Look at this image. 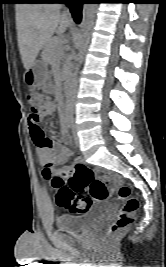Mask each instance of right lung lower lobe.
Here are the masks:
<instances>
[{
    "label": "right lung lower lobe",
    "mask_w": 166,
    "mask_h": 267,
    "mask_svg": "<svg viewBox=\"0 0 166 267\" xmlns=\"http://www.w3.org/2000/svg\"><path fill=\"white\" fill-rule=\"evenodd\" d=\"M23 3H55L56 0H23ZM65 4L70 7V11L75 22L80 23L81 21V11L83 0H65Z\"/></svg>",
    "instance_id": "1"
}]
</instances>
